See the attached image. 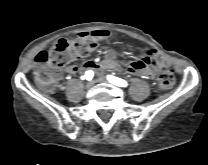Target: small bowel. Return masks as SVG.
<instances>
[{"instance_id": "c3829d8e", "label": "small bowel", "mask_w": 208, "mask_h": 165, "mask_svg": "<svg viewBox=\"0 0 208 165\" xmlns=\"http://www.w3.org/2000/svg\"><path fill=\"white\" fill-rule=\"evenodd\" d=\"M94 36L98 39H106L111 36V33L106 29H98L92 32ZM168 64L167 60L161 57L157 51L148 50L146 57L141 60H134L130 62H119L116 60L115 53L111 50H105L104 58L101 63H97L93 60H88L80 66L75 63H65L62 67V72L68 76H74L83 71H101L104 69L118 70L123 66L129 73L144 76L148 78H153L158 70Z\"/></svg>"}]
</instances>
